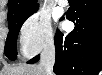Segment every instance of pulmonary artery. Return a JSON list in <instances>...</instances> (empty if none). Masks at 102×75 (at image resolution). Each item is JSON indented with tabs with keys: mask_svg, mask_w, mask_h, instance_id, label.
<instances>
[{
	"mask_svg": "<svg viewBox=\"0 0 102 75\" xmlns=\"http://www.w3.org/2000/svg\"><path fill=\"white\" fill-rule=\"evenodd\" d=\"M58 2L62 5L66 4V0H59Z\"/></svg>",
	"mask_w": 102,
	"mask_h": 75,
	"instance_id": "e3ab8cb5",
	"label": "pulmonary artery"
}]
</instances>
